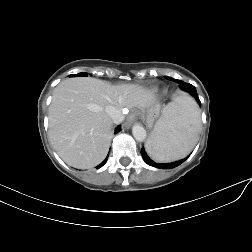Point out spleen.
Here are the masks:
<instances>
[{"instance_id":"spleen-1","label":"spleen","mask_w":252,"mask_h":252,"mask_svg":"<svg viewBox=\"0 0 252 252\" xmlns=\"http://www.w3.org/2000/svg\"><path fill=\"white\" fill-rule=\"evenodd\" d=\"M200 129L196 102L186 95L173 99L156 122L146 143L148 154L158 162L184 158L195 146Z\"/></svg>"}]
</instances>
